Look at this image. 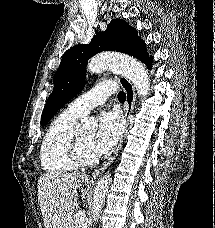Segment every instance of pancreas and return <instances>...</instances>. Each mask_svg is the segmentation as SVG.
<instances>
[{"label": "pancreas", "mask_w": 215, "mask_h": 228, "mask_svg": "<svg viewBox=\"0 0 215 228\" xmlns=\"http://www.w3.org/2000/svg\"><path fill=\"white\" fill-rule=\"evenodd\" d=\"M72 224H73V228H79L78 224H76V222H74V220H72Z\"/></svg>", "instance_id": "obj_1"}]
</instances>
